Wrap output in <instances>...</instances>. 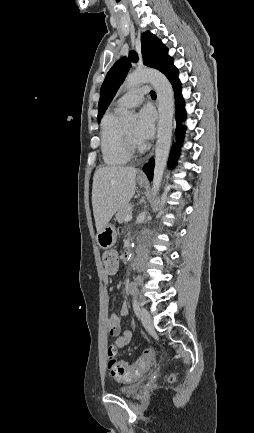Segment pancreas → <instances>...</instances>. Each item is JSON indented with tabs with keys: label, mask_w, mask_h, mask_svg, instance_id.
Here are the masks:
<instances>
[{
	"label": "pancreas",
	"mask_w": 254,
	"mask_h": 433,
	"mask_svg": "<svg viewBox=\"0 0 254 433\" xmlns=\"http://www.w3.org/2000/svg\"><path fill=\"white\" fill-rule=\"evenodd\" d=\"M132 213V204H126L122 208H120L116 214V219L119 223L125 221V217Z\"/></svg>",
	"instance_id": "obj_1"
}]
</instances>
